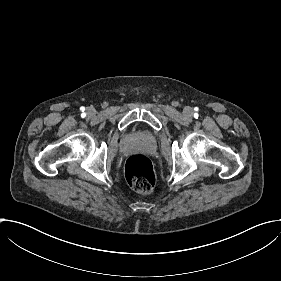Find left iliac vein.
I'll list each match as a JSON object with an SVG mask.
<instances>
[{
	"label": "left iliac vein",
	"mask_w": 281,
	"mask_h": 281,
	"mask_svg": "<svg viewBox=\"0 0 281 281\" xmlns=\"http://www.w3.org/2000/svg\"><path fill=\"white\" fill-rule=\"evenodd\" d=\"M184 116H185L186 118H189V117L191 116V110H190L189 108H186V109L184 110Z\"/></svg>",
	"instance_id": "1"
}]
</instances>
